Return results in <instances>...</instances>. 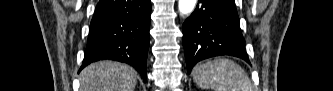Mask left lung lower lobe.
I'll use <instances>...</instances> for the list:
<instances>
[{
    "label": "left lung lower lobe",
    "mask_w": 333,
    "mask_h": 91,
    "mask_svg": "<svg viewBox=\"0 0 333 91\" xmlns=\"http://www.w3.org/2000/svg\"><path fill=\"white\" fill-rule=\"evenodd\" d=\"M234 0H199L183 24L187 70L214 56L231 55L249 63Z\"/></svg>",
    "instance_id": "obj_1"
}]
</instances>
